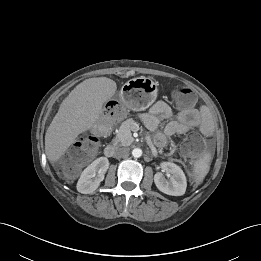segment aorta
Wrapping results in <instances>:
<instances>
[{
  "mask_svg": "<svg viewBox=\"0 0 261 261\" xmlns=\"http://www.w3.org/2000/svg\"><path fill=\"white\" fill-rule=\"evenodd\" d=\"M142 155V150L140 148H134L132 150V156L135 158H139Z\"/></svg>",
  "mask_w": 261,
  "mask_h": 261,
  "instance_id": "1",
  "label": "aorta"
}]
</instances>
